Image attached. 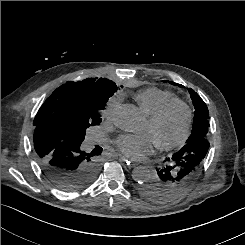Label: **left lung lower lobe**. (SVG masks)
<instances>
[{
	"label": "left lung lower lobe",
	"instance_id": "left-lung-lower-lobe-1",
	"mask_svg": "<svg viewBox=\"0 0 245 245\" xmlns=\"http://www.w3.org/2000/svg\"><path fill=\"white\" fill-rule=\"evenodd\" d=\"M210 144L206 138L186 143L166 165L157 169V175L144 182L140 192L147 198L165 202L182 193L200 170Z\"/></svg>",
	"mask_w": 245,
	"mask_h": 245
}]
</instances>
